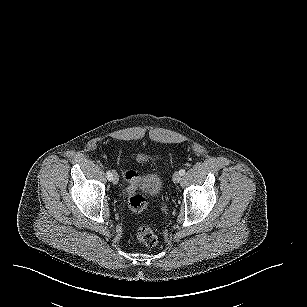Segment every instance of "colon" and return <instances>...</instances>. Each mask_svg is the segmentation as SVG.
Wrapping results in <instances>:
<instances>
[{"instance_id":"colon-1","label":"colon","mask_w":307,"mask_h":307,"mask_svg":"<svg viewBox=\"0 0 307 307\" xmlns=\"http://www.w3.org/2000/svg\"><path fill=\"white\" fill-rule=\"evenodd\" d=\"M137 160L141 163L150 162V157L144 154H138ZM127 182V193L129 208L134 213H145L148 211V200L142 194L137 192L139 186V175L134 170L125 172ZM137 239L145 246L152 247L157 243V235L149 224H140L136 228Z\"/></svg>"}]
</instances>
